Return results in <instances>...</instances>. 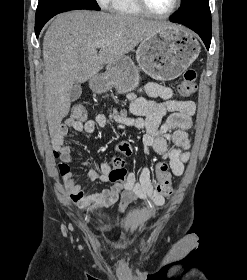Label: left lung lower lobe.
Listing matches in <instances>:
<instances>
[{
    "mask_svg": "<svg viewBox=\"0 0 247 280\" xmlns=\"http://www.w3.org/2000/svg\"><path fill=\"white\" fill-rule=\"evenodd\" d=\"M170 21L183 24L195 31L202 38L206 48L209 49L211 43V27L185 23L176 19L175 17L171 18Z\"/></svg>",
    "mask_w": 247,
    "mask_h": 280,
    "instance_id": "1",
    "label": "left lung lower lobe"
}]
</instances>
